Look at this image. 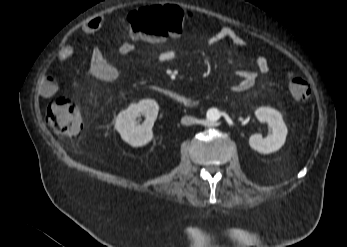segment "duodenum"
I'll use <instances>...</instances> for the list:
<instances>
[{
	"label": "duodenum",
	"instance_id": "obj_1",
	"mask_svg": "<svg viewBox=\"0 0 347 247\" xmlns=\"http://www.w3.org/2000/svg\"><path fill=\"white\" fill-rule=\"evenodd\" d=\"M168 97L177 103L178 105H181L183 107H194L196 106V100L192 97H189L185 94L175 92V91H169Z\"/></svg>",
	"mask_w": 347,
	"mask_h": 247
}]
</instances>
